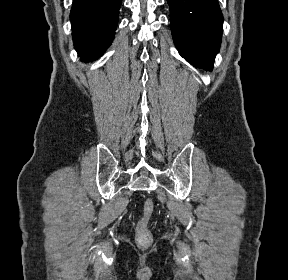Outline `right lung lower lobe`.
Returning a JSON list of instances; mask_svg holds the SVG:
<instances>
[{
  "instance_id": "right-lung-lower-lobe-1",
  "label": "right lung lower lobe",
  "mask_w": 288,
  "mask_h": 280,
  "mask_svg": "<svg viewBox=\"0 0 288 280\" xmlns=\"http://www.w3.org/2000/svg\"><path fill=\"white\" fill-rule=\"evenodd\" d=\"M121 0H73L70 19L74 47L81 61H90L110 46Z\"/></svg>"
}]
</instances>
